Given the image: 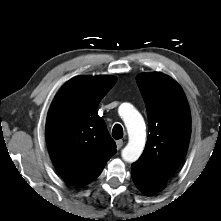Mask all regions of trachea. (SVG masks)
I'll use <instances>...</instances> for the list:
<instances>
[{"label": "trachea", "instance_id": "3493384b", "mask_svg": "<svg viewBox=\"0 0 221 221\" xmlns=\"http://www.w3.org/2000/svg\"><path fill=\"white\" fill-rule=\"evenodd\" d=\"M112 136L114 139H121L123 137V128L120 124L114 125L112 129Z\"/></svg>", "mask_w": 221, "mask_h": 221}]
</instances>
